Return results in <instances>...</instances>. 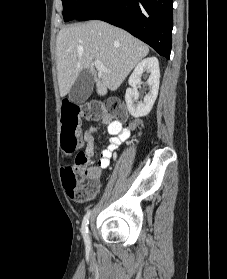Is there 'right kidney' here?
Instances as JSON below:
<instances>
[{"label": "right kidney", "mask_w": 227, "mask_h": 279, "mask_svg": "<svg viewBox=\"0 0 227 279\" xmlns=\"http://www.w3.org/2000/svg\"><path fill=\"white\" fill-rule=\"evenodd\" d=\"M144 72L149 73V78L146 81L149 92L144 97L143 102H138L137 85L141 82V76ZM159 79V62L156 57L145 58L137 64L128 81L131 88H128L125 94L128 111L133 117H143L150 113L158 95Z\"/></svg>", "instance_id": "obj_1"}]
</instances>
